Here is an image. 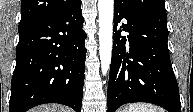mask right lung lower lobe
<instances>
[{
  "label": "right lung lower lobe",
  "mask_w": 193,
  "mask_h": 112,
  "mask_svg": "<svg viewBox=\"0 0 193 112\" xmlns=\"http://www.w3.org/2000/svg\"><path fill=\"white\" fill-rule=\"evenodd\" d=\"M81 0L22 30L16 50L9 112L59 103L81 112L85 38Z\"/></svg>",
  "instance_id": "98d812e1"
}]
</instances>
